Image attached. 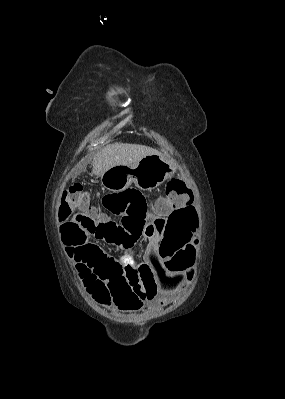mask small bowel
<instances>
[{"instance_id":"small-bowel-1","label":"small bowel","mask_w":285,"mask_h":399,"mask_svg":"<svg viewBox=\"0 0 285 399\" xmlns=\"http://www.w3.org/2000/svg\"><path fill=\"white\" fill-rule=\"evenodd\" d=\"M186 196L182 195L179 199L181 205H184ZM174 208L172 206H167L165 208H160L153 210L151 213L152 223L147 225L144 230L145 238L150 242V247L144 254L145 260H151L153 253L157 249V241L160 233L159 225L166 223L168 221V216L173 213ZM195 220L193 218L181 224H173L164 234L166 239L169 241H179L183 240V251L185 257L190 261L192 265L195 255H196V245L198 242V233L194 227ZM67 253L70 257H73L76 252V247H68ZM75 267L83 265L84 261L82 258L74 261ZM102 269L108 275L114 278L115 282L120 284L123 282H131L138 277L137 268L134 265H130L129 269H124L119 261L105 256L102 261ZM191 268L188 267L185 270L170 273L167 276L161 278L158 293L150 299H140L136 306L125 307L119 303L112 291L107 290L106 300L97 292H90L89 295L100 305L107 307H116L121 310L128 311H139L141 310L148 301H154L157 299L160 305H166L170 299L176 298L185 286L190 282L191 279ZM143 292L144 288H143Z\"/></svg>"}]
</instances>
